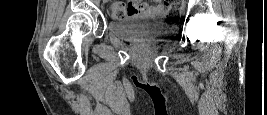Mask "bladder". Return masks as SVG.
Listing matches in <instances>:
<instances>
[{"label": "bladder", "mask_w": 267, "mask_h": 115, "mask_svg": "<svg viewBox=\"0 0 267 115\" xmlns=\"http://www.w3.org/2000/svg\"><path fill=\"white\" fill-rule=\"evenodd\" d=\"M161 17L158 13L125 14L108 23L109 31L122 40H156L167 35V31L155 24Z\"/></svg>", "instance_id": "31cf9c89"}]
</instances>
